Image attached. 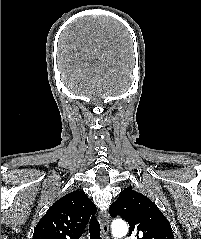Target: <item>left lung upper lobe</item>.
<instances>
[{
	"label": "left lung upper lobe",
	"instance_id": "1",
	"mask_svg": "<svg viewBox=\"0 0 201 239\" xmlns=\"http://www.w3.org/2000/svg\"><path fill=\"white\" fill-rule=\"evenodd\" d=\"M111 217L121 216L129 224V234L137 239H174L171 225L146 196L125 188L110 206Z\"/></svg>",
	"mask_w": 201,
	"mask_h": 239
}]
</instances>
